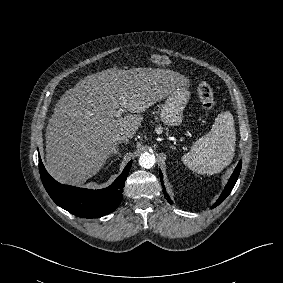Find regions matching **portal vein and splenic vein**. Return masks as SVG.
<instances>
[{
	"label": "portal vein and splenic vein",
	"mask_w": 283,
	"mask_h": 283,
	"mask_svg": "<svg viewBox=\"0 0 283 283\" xmlns=\"http://www.w3.org/2000/svg\"><path fill=\"white\" fill-rule=\"evenodd\" d=\"M125 109L124 108H120L119 110L114 111V116L116 118H119L122 116V114L124 113Z\"/></svg>",
	"instance_id": "obj_1"
}]
</instances>
